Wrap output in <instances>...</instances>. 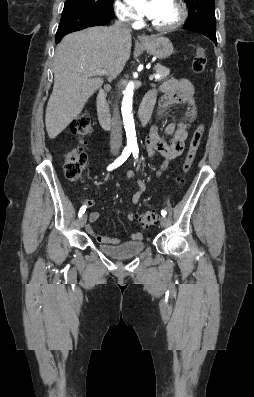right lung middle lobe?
I'll use <instances>...</instances> for the list:
<instances>
[{"label": "right lung middle lobe", "instance_id": "dd1d6c3e", "mask_svg": "<svg viewBox=\"0 0 254 397\" xmlns=\"http://www.w3.org/2000/svg\"><path fill=\"white\" fill-rule=\"evenodd\" d=\"M65 5H73L98 14L113 12V0H66Z\"/></svg>", "mask_w": 254, "mask_h": 397}]
</instances>
